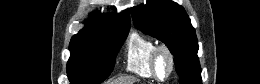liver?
Wrapping results in <instances>:
<instances>
[{"instance_id": "obj_1", "label": "liver", "mask_w": 260, "mask_h": 84, "mask_svg": "<svg viewBox=\"0 0 260 84\" xmlns=\"http://www.w3.org/2000/svg\"><path fill=\"white\" fill-rule=\"evenodd\" d=\"M121 82H123V81H115L113 84H122Z\"/></svg>"}]
</instances>
